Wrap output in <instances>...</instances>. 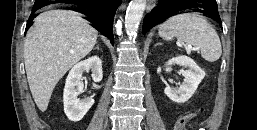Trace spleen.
<instances>
[{
    "label": "spleen",
    "mask_w": 257,
    "mask_h": 130,
    "mask_svg": "<svg viewBox=\"0 0 257 130\" xmlns=\"http://www.w3.org/2000/svg\"><path fill=\"white\" fill-rule=\"evenodd\" d=\"M159 35L169 41L177 38L181 44L201 51L208 62L217 61L222 54L219 36L208 21L197 13H183L167 19L159 26Z\"/></svg>",
    "instance_id": "3e777b00"
}]
</instances>
